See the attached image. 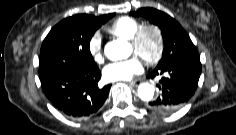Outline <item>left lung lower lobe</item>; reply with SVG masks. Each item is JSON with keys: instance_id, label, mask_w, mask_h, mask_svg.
<instances>
[{"instance_id": "0a47b994", "label": "left lung lower lobe", "mask_w": 236, "mask_h": 135, "mask_svg": "<svg viewBox=\"0 0 236 135\" xmlns=\"http://www.w3.org/2000/svg\"><path fill=\"white\" fill-rule=\"evenodd\" d=\"M165 74L158 84L161 91L159 97L150 101L149 109L170 114L184 106L194 95L201 74V63L198 52L182 62L170 63L148 74V78Z\"/></svg>"}]
</instances>
